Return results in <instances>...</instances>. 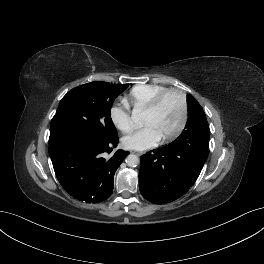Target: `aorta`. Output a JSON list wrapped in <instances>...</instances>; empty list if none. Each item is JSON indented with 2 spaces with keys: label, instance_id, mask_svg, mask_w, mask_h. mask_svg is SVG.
<instances>
[{
  "label": "aorta",
  "instance_id": "aorta-1",
  "mask_svg": "<svg viewBox=\"0 0 264 264\" xmlns=\"http://www.w3.org/2000/svg\"><path fill=\"white\" fill-rule=\"evenodd\" d=\"M139 117H140L139 112L137 110H134L133 114H132V120L134 122H138ZM139 162H140V160H139L138 156L134 155V154H130L126 158V163L130 167H136L139 164Z\"/></svg>",
  "mask_w": 264,
  "mask_h": 264
}]
</instances>
